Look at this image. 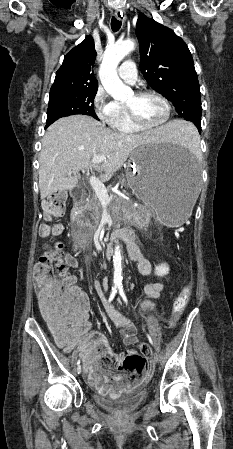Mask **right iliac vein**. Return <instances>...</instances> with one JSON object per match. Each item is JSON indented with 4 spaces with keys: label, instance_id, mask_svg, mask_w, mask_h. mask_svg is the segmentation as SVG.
<instances>
[{
    "label": "right iliac vein",
    "instance_id": "63e3f726",
    "mask_svg": "<svg viewBox=\"0 0 233 449\" xmlns=\"http://www.w3.org/2000/svg\"><path fill=\"white\" fill-rule=\"evenodd\" d=\"M81 373V366H78L77 367V374H80Z\"/></svg>",
    "mask_w": 233,
    "mask_h": 449
}]
</instances>
